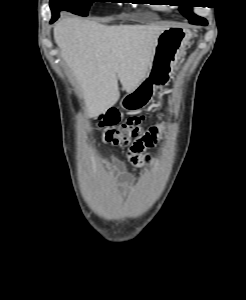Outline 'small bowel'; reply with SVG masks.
Wrapping results in <instances>:
<instances>
[{
  "instance_id": "small-bowel-1",
  "label": "small bowel",
  "mask_w": 246,
  "mask_h": 300,
  "mask_svg": "<svg viewBox=\"0 0 246 300\" xmlns=\"http://www.w3.org/2000/svg\"><path fill=\"white\" fill-rule=\"evenodd\" d=\"M139 153L130 151L128 158L134 164L139 163ZM112 174L120 173V178L117 180V185L120 187H128L131 184V178L127 174L122 172V164L116 160H111Z\"/></svg>"
}]
</instances>
